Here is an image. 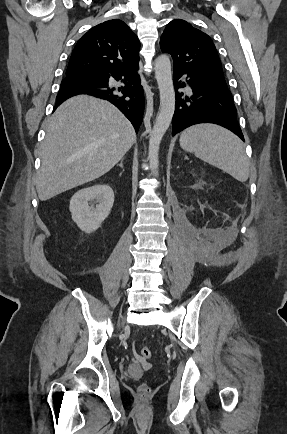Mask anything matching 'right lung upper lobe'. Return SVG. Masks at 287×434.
I'll list each match as a JSON object with an SVG mask.
<instances>
[{
    "mask_svg": "<svg viewBox=\"0 0 287 434\" xmlns=\"http://www.w3.org/2000/svg\"><path fill=\"white\" fill-rule=\"evenodd\" d=\"M139 48L138 37L123 21H105L91 28L77 42L64 80L130 69L139 63Z\"/></svg>",
    "mask_w": 287,
    "mask_h": 434,
    "instance_id": "obj_1",
    "label": "right lung upper lobe"
}]
</instances>
